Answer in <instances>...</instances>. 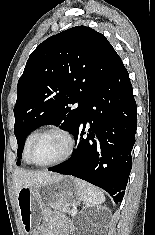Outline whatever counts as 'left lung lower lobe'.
<instances>
[{
    "label": "left lung lower lobe",
    "mask_w": 155,
    "mask_h": 235,
    "mask_svg": "<svg viewBox=\"0 0 155 235\" xmlns=\"http://www.w3.org/2000/svg\"><path fill=\"white\" fill-rule=\"evenodd\" d=\"M90 123L87 137L85 127ZM137 106L129 74L121 58L85 106L73 135L71 158L48 170L88 181L121 202L132 167Z\"/></svg>",
    "instance_id": "left-lung-lower-lobe-1"
}]
</instances>
